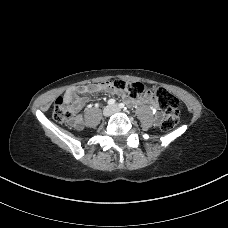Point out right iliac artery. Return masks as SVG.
Masks as SVG:
<instances>
[{
    "label": "right iliac artery",
    "mask_w": 228,
    "mask_h": 228,
    "mask_svg": "<svg viewBox=\"0 0 228 228\" xmlns=\"http://www.w3.org/2000/svg\"><path fill=\"white\" fill-rule=\"evenodd\" d=\"M115 102H116L115 99H109L107 103L108 105H114Z\"/></svg>",
    "instance_id": "right-iliac-artery-1"
}]
</instances>
